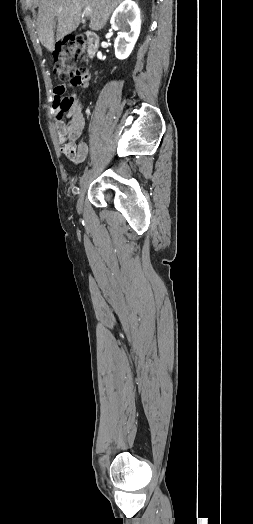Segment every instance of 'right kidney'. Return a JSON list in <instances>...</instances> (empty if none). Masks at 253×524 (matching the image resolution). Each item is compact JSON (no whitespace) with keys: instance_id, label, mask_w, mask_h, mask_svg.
I'll use <instances>...</instances> for the list:
<instances>
[{"instance_id":"1","label":"right kidney","mask_w":253,"mask_h":524,"mask_svg":"<svg viewBox=\"0 0 253 524\" xmlns=\"http://www.w3.org/2000/svg\"><path fill=\"white\" fill-rule=\"evenodd\" d=\"M110 24L114 30H121L115 40L114 48L116 58L124 60L131 54L140 34L141 19L138 5L134 1L125 0L114 11Z\"/></svg>"}]
</instances>
